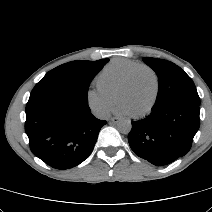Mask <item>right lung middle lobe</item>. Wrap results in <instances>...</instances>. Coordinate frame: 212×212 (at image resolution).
<instances>
[{
    "mask_svg": "<svg viewBox=\"0 0 212 212\" xmlns=\"http://www.w3.org/2000/svg\"><path fill=\"white\" fill-rule=\"evenodd\" d=\"M107 61L108 59H100L62 64L46 73L31 94L39 91L63 92L88 101L90 81Z\"/></svg>",
    "mask_w": 212,
    "mask_h": 212,
    "instance_id": "obj_1",
    "label": "right lung middle lobe"
}]
</instances>
